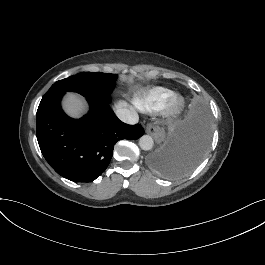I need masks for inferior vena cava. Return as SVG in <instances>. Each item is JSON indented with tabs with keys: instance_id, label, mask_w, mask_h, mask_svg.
<instances>
[{
	"instance_id": "inferior-vena-cava-1",
	"label": "inferior vena cava",
	"mask_w": 265,
	"mask_h": 265,
	"mask_svg": "<svg viewBox=\"0 0 265 265\" xmlns=\"http://www.w3.org/2000/svg\"><path fill=\"white\" fill-rule=\"evenodd\" d=\"M115 114L121 121L128 124H136L139 120V116L135 110H129L127 108H117L115 110Z\"/></svg>"
}]
</instances>
